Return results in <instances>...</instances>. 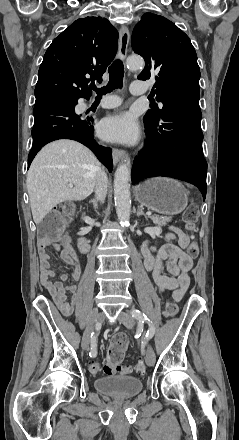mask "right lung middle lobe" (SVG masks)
<instances>
[{
    "label": "right lung middle lobe",
    "mask_w": 239,
    "mask_h": 440,
    "mask_svg": "<svg viewBox=\"0 0 239 440\" xmlns=\"http://www.w3.org/2000/svg\"><path fill=\"white\" fill-rule=\"evenodd\" d=\"M67 99H70V100H74V101H76V100H78L79 98H67Z\"/></svg>",
    "instance_id": "obj_1"
}]
</instances>
